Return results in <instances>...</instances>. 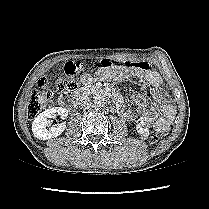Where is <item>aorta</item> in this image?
Here are the masks:
<instances>
[{"instance_id": "1", "label": "aorta", "mask_w": 209, "mask_h": 209, "mask_svg": "<svg viewBox=\"0 0 209 209\" xmlns=\"http://www.w3.org/2000/svg\"><path fill=\"white\" fill-rule=\"evenodd\" d=\"M94 103L100 107L106 105L107 99L104 96L98 95L94 98Z\"/></svg>"}]
</instances>
